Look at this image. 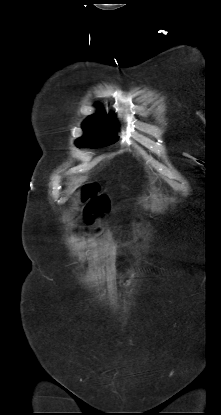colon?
Instances as JSON below:
<instances>
[{
  "label": "colon",
  "mask_w": 221,
  "mask_h": 415,
  "mask_svg": "<svg viewBox=\"0 0 221 415\" xmlns=\"http://www.w3.org/2000/svg\"><path fill=\"white\" fill-rule=\"evenodd\" d=\"M92 192V190H89L87 192V194H90ZM107 203L104 199H98L95 200L94 202H92L89 207H88V215L91 216L93 213L96 212V210L100 207H106ZM118 275L119 276H124L125 275V270L124 269H119L118 270Z\"/></svg>",
  "instance_id": "1"
}]
</instances>
